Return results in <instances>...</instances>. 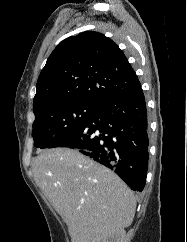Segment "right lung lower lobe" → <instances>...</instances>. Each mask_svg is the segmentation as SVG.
Listing matches in <instances>:
<instances>
[{"mask_svg":"<svg viewBox=\"0 0 187 242\" xmlns=\"http://www.w3.org/2000/svg\"><path fill=\"white\" fill-rule=\"evenodd\" d=\"M147 110L141 86L102 103L75 130L48 148L81 152L118 174L134 191H142L148 168Z\"/></svg>","mask_w":187,"mask_h":242,"instance_id":"obj_1","label":"right lung lower lobe"}]
</instances>
